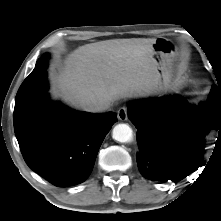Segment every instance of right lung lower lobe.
I'll return each mask as SVG.
<instances>
[{
    "label": "right lung lower lobe",
    "instance_id": "1",
    "mask_svg": "<svg viewBox=\"0 0 221 221\" xmlns=\"http://www.w3.org/2000/svg\"><path fill=\"white\" fill-rule=\"evenodd\" d=\"M46 68H35L15 99L33 100L27 118L14 122V130L27 165L50 183L67 187L90 175L102 141L117 121L113 112L73 111L48 98Z\"/></svg>",
    "mask_w": 221,
    "mask_h": 221
}]
</instances>
